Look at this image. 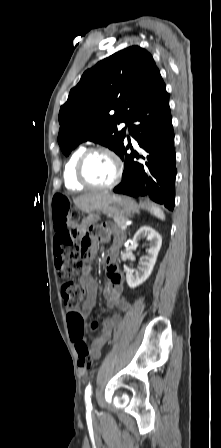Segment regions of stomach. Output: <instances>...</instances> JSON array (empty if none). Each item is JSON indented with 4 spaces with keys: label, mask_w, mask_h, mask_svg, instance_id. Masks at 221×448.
Returning <instances> with one entry per match:
<instances>
[{
    "label": "stomach",
    "mask_w": 221,
    "mask_h": 448,
    "mask_svg": "<svg viewBox=\"0 0 221 448\" xmlns=\"http://www.w3.org/2000/svg\"><path fill=\"white\" fill-rule=\"evenodd\" d=\"M83 212L92 214L102 212L109 216L128 217L138 211L137 204L127 196L112 194L108 191L91 194L76 201Z\"/></svg>",
    "instance_id": "stomach-1"
}]
</instances>
